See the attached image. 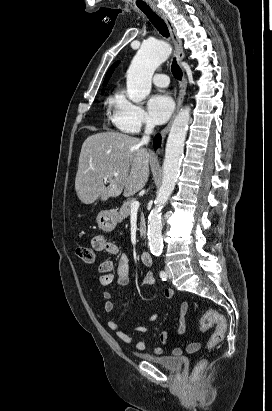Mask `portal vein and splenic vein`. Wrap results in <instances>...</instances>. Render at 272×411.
<instances>
[{
  "instance_id": "portal-vein-and-splenic-vein-1",
  "label": "portal vein and splenic vein",
  "mask_w": 272,
  "mask_h": 411,
  "mask_svg": "<svg viewBox=\"0 0 272 411\" xmlns=\"http://www.w3.org/2000/svg\"><path fill=\"white\" fill-rule=\"evenodd\" d=\"M113 176H117V174L114 173ZM104 180L107 181V180H108V176L105 177ZM139 206H140V203H139L138 201H133V202L131 203V211L138 210Z\"/></svg>"
}]
</instances>
